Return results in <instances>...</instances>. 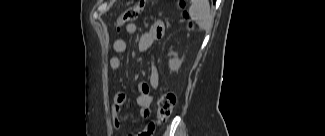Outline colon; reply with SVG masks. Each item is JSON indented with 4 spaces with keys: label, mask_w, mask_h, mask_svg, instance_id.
<instances>
[{
    "label": "colon",
    "mask_w": 325,
    "mask_h": 136,
    "mask_svg": "<svg viewBox=\"0 0 325 136\" xmlns=\"http://www.w3.org/2000/svg\"><path fill=\"white\" fill-rule=\"evenodd\" d=\"M144 4V0H140L135 5L124 10L118 18V27H122L123 25L132 23L136 20L142 12ZM180 6L184 8L185 2L181 1ZM184 16H186V12H184ZM175 102L176 98L173 93L167 92L161 95L157 103V120L159 123H163L171 117Z\"/></svg>",
    "instance_id": "obj_1"
}]
</instances>
